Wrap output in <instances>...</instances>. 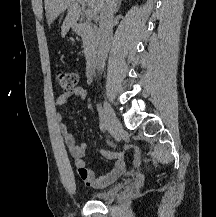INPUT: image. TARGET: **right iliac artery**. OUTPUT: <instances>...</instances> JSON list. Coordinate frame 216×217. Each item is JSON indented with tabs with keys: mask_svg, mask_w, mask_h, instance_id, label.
<instances>
[{
	"mask_svg": "<svg viewBox=\"0 0 216 217\" xmlns=\"http://www.w3.org/2000/svg\"><path fill=\"white\" fill-rule=\"evenodd\" d=\"M97 109H98V112L100 115V129L102 132H105L108 128L106 115H105L104 110L102 109V107L100 105H97Z\"/></svg>",
	"mask_w": 216,
	"mask_h": 217,
	"instance_id": "1",
	"label": "right iliac artery"
}]
</instances>
